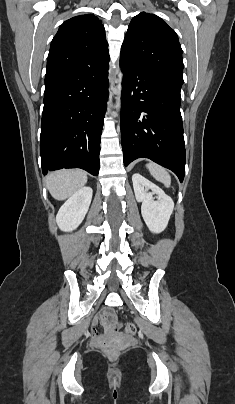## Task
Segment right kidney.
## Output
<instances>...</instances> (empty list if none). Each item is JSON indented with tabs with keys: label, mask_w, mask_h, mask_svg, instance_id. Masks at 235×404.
I'll list each match as a JSON object with an SVG mask.
<instances>
[{
	"label": "right kidney",
	"mask_w": 235,
	"mask_h": 404,
	"mask_svg": "<svg viewBox=\"0 0 235 404\" xmlns=\"http://www.w3.org/2000/svg\"><path fill=\"white\" fill-rule=\"evenodd\" d=\"M92 200V188L82 187L59 209L56 222L62 231L76 229L85 218Z\"/></svg>",
	"instance_id": "1"
}]
</instances>
